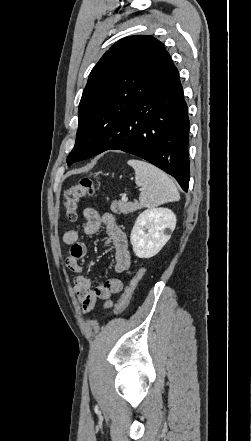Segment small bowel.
<instances>
[{
  "mask_svg": "<svg viewBox=\"0 0 251 441\" xmlns=\"http://www.w3.org/2000/svg\"><path fill=\"white\" fill-rule=\"evenodd\" d=\"M85 224L83 231L93 235L101 226L106 228L107 244L114 249V270L118 274L127 272L131 267V254L126 233L117 223L111 213L100 215L94 208L86 207L83 210ZM63 242L70 246L69 256L65 264L69 270L76 273L74 291L84 312L92 310L98 300H103L105 306H111V298L123 289L120 278H109L101 285L93 286L91 279L84 275L85 268L81 260L87 254V246L80 240L78 230H68L63 235Z\"/></svg>",
  "mask_w": 251,
  "mask_h": 441,
  "instance_id": "c3829d8e",
  "label": "small bowel"
}]
</instances>
